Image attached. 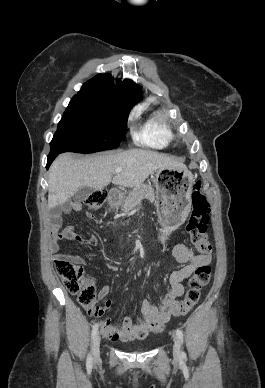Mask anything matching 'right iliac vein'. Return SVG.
Listing matches in <instances>:
<instances>
[{"mask_svg": "<svg viewBox=\"0 0 265 388\" xmlns=\"http://www.w3.org/2000/svg\"><path fill=\"white\" fill-rule=\"evenodd\" d=\"M100 341H101V338H100V335L98 334L94 338L93 347H92V354L95 361H98L100 358Z\"/></svg>", "mask_w": 265, "mask_h": 388, "instance_id": "63e3f726", "label": "right iliac vein"}]
</instances>
